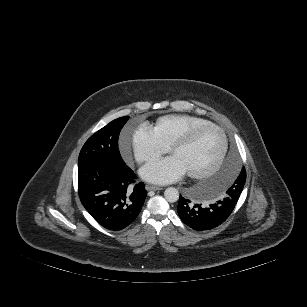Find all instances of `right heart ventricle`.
Listing matches in <instances>:
<instances>
[{
    "instance_id": "e07e8e85",
    "label": "right heart ventricle",
    "mask_w": 307,
    "mask_h": 307,
    "mask_svg": "<svg viewBox=\"0 0 307 307\" xmlns=\"http://www.w3.org/2000/svg\"><path fill=\"white\" fill-rule=\"evenodd\" d=\"M209 121L194 115L170 114L160 117L152 130L167 146L186 133L191 127L208 123Z\"/></svg>"
}]
</instances>
